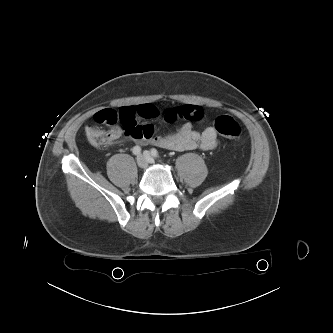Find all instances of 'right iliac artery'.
Returning <instances> with one entry per match:
<instances>
[{"label": "right iliac artery", "mask_w": 333, "mask_h": 333, "mask_svg": "<svg viewBox=\"0 0 333 333\" xmlns=\"http://www.w3.org/2000/svg\"><path fill=\"white\" fill-rule=\"evenodd\" d=\"M132 151H133L134 155H138L141 152V148H140V146H134Z\"/></svg>", "instance_id": "82829eb1"}]
</instances>
